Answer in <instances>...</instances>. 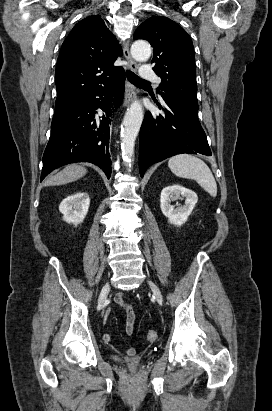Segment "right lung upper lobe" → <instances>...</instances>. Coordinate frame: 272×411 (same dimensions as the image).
<instances>
[{
	"instance_id": "1",
	"label": "right lung upper lobe",
	"mask_w": 272,
	"mask_h": 411,
	"mask_svg": "<svg viewBox=\"0 0 272 411\" xmlns=\"http://www.w3.org/2000/svg\"><path fill=\"white\" fill-rule=\"evenodd\" d=\"M117 40L99 15L77 23L62 44L55 71V108L77 101L107 85L122 69L113 63L122 55Z\"/></svg>"
}]
</instances>
